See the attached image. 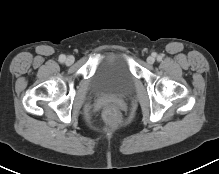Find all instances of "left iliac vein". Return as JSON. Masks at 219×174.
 I'll use <instances>...</instances> for the list:
<instances>
[{"mask_svg": "<svg viewBox=\"0 0 219 174\" xmlns=\"http://www.w3.org/2000/svg\"><path fill=\"white\" fill-rule=\"evenodd\" d=\"M155 62V58L153 57V56H149L148 58H147V63L148 64H153Z\"/></svg>", "mask_w": 219, "mask_h": 174, "instance_id": "obj_1", "label": "left iliac vein"}]
</instances>
